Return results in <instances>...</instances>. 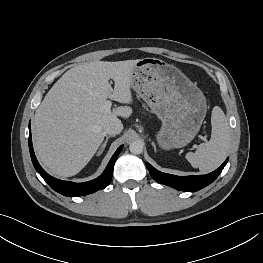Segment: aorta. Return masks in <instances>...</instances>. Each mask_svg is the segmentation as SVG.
I'll list each match as a JSON object with an SVG mask.
<instances>
[{
	"instance_id": "762f6f07",
	"label": "aorta",
	"mask_w": 263,
	"mask_h": 263,
	"mask_svg": "<svg viewBox=\"0 0 263 263\" xmlns=\"http://www.w3.org/2000/svg\"><path fill=\"white\" fill-rule=\"evenodd\" d=\"M129 150L132 154H141L143 151V144L140 141L130 143Z\"/></svg>"
}]
</instances>
